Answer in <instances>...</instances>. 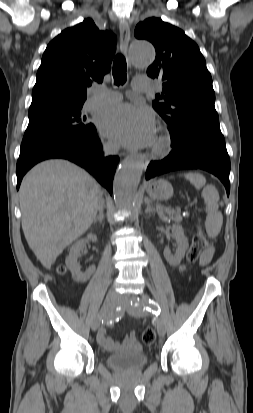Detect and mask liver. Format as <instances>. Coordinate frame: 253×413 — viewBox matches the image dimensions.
<instances>
[{"mask_svg":"<svg viewBox=\"0 0 253 413\" xmlns=\"http://www.w3.org/2000/svg\"><path fill=\"white\" fill-rule=\"evenodd\" d=\"M101 195L99 184L66 160L41 162L24 176L19 190L22 229L46 269L91 226Z\"/></svg>","mask_w":253,"mask_h":413,"instance_id":"6515ba94","label":"liver"}]
</instances>
